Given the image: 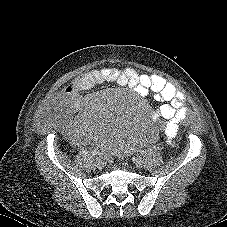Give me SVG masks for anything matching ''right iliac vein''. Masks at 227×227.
<instances>
[{
    "instance_id": "obj_1",
    "label": "right iliac vein",
    "mask_w": 227,
    "mask_h": 227,
    "mask_svg": "<svg viewBox=\"0 0 227 227\" xmlns=\"http://www.w3.org/2000/svg\"><path fill=\"white\" fill-rule=\"evenodd\" d=\"M95 166H96L97 168L101 169V168H103V166H104V162H103L100 158H98V159H96V161H95Z\"/></svg>"
}]
</instances>
